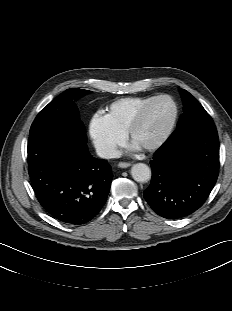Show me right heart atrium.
<instances>
[{
	"label": "right heart atrium",
	"instance_id": "obj_1",
	"mask_svg": "<svg viewBox=\"0 0 232 311\" xmlns=\"http://www.w3.org/2000/svg\"><path fill=\"white\" fill-rule=\"evenodd\" d=\"M89 136L99 155L105 158L114 156L124 140L123 135L116 132L99 113L90 120Z\"/></svg>",
	"mask_w": 232,
	"mask_h": 311
}]
</instances>
